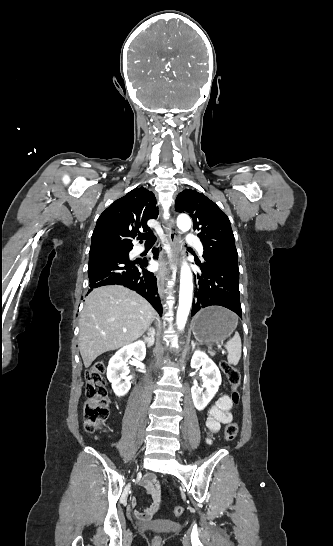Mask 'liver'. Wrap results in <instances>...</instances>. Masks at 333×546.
Instances as JSON below:
<instances>
[{
	"mask_svg": "<svg viewBox=\"0 0 333 546\" xmlns=\"http://www.w3.org/2000/svg\"><path fill=\"white\" fill-rule=\"evenodd\" d=\"M156 317L153 307L120 285L94 289L79 320V349L88 368L101 354L139 339Z\"/></svg>",
	"mask_w": 333,
	"mask_h": 546,
	"instance_id": "1",
	"label": "liver"
}]
</instances>
